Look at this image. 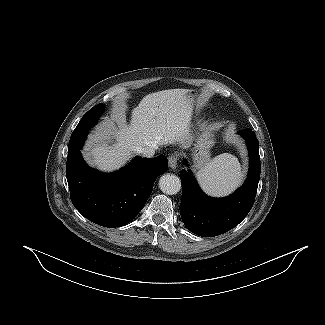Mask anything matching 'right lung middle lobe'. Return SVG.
Listing matches in <instances>:
<instances>
[{"instance_id": "right-lung-middle-lobe-1", "label": "right lung middle lobe", "mask_w": 325, "mask_h": 325, "mask_svg": "<svg viewBox=\"0 0 325 325\" xmlns=\"http://www.w3.org/2000/svg\"><path fill=\"white\" fill-rule=\"evenodd\" d=\"M103 112L104 104H98L94 106L82 117L81 121L78 123L73 132L77 133L80 131L82 132L89 130L96 123Z\"/></svg>"}]
</instances>
